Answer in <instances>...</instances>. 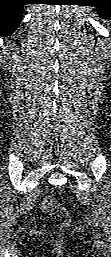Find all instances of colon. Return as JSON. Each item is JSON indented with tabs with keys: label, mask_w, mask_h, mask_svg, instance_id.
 <instances>
[{
	"label": "colon",
	"mask_w": 111,
	"mask_h": 257,
	"mask_svg": "<svg viewBox=\"0 0 111 257\" xmlns=\"http://www.w3.org/2000/svg\"><path fill=\"white\" fill-rule=\"evenodd\" d=\"M43 204L48 210L58 214L59 216H67V211L57 204L55 198L52 195H47L44 198Z\"/></svg>",
	"instance_id": "obj_1"
}]
</instances>
